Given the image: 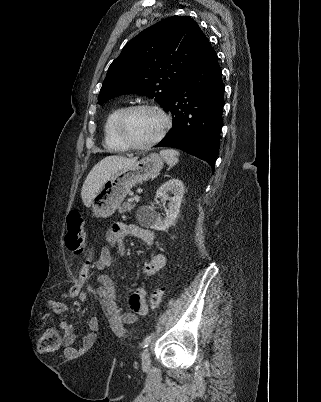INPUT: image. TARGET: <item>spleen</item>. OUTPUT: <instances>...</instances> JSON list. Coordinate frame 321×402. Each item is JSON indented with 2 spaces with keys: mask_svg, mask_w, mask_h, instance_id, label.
Masks as SVG:
<instances>
[{
  "mask_svg": "<svg viewBox=\"0 0 321 402\" xmlns=\"http://www.w3.org/2000/svg\"><path fill=\"white\" fill-rule=\"evenodd\" d=\"M160 155L166 161L167 165L170 167L176 165L178 163V157L180 155L179 151L175 149H164L160 151Z\"/></svg>",
  "mask_w": 321,
  "mask_h": 402,
  "instance_id": "spleen-1",
  "label": "spleen"
}]
</instances>
